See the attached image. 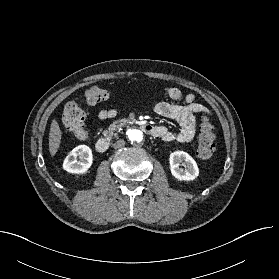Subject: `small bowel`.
Returning a JSON list of instances; mask_svg holds the SVG:
<instances>
[{
    "instance_id": "small-bowel-1",
    "label": "small bowel",
    "mask_w": 279,
    "mask_h": 279,
    "mask_svg": "<svg viewBox=\"0 0 279 279\" xmlns=\"http://www.w3.org/2000/svg\"><path fill=\"white\" fill-rule=\"evenodd\" d=\"M166 95L173 101L183 99V104H174L168 102H159L154 106V112L160 116L173 119L180 125L178 131H171L165 126H156L157 133L154 135L165 142H190L197 130L196 114L211 113L204 105L196 102L195 95L188 93L183 95L182 91L176 87H168ZM117 116V110L114 108H103L99 111L100 120L112 119Z\"/></svg>"
}]
</instances>
